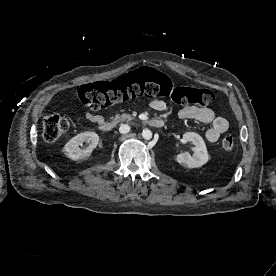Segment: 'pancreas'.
I'll return each instance as SVG.
<instances>
[{"label": "pancreas", "mask_w": 276, "mask_h": 276, "mask_svg": "<svg viewBox=\"0 0 276 276\" xmlns=\"http://www.w3.org/2000/svg\"><path fill=\"white\" fill-rule=\"evenodd\" d=\"M111 119L113 120V122L115 124L119 123V122H129L131 120L134 119V117H132L130 114H116L114 116L111 117Z\"/></svg>", "instance_id": "1"}]
</instances>
